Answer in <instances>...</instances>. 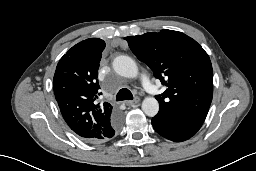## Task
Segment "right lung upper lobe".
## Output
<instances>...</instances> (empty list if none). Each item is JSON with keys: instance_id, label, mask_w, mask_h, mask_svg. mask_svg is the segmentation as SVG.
<instances>
[{"instance_id": "cb5924a9", "label": "right lung upper lobe", "mask_w": 256, "mask_h": 171, "mask_svg": "<svg viewBox=\"0 0 256 171\" xmlns=\"http://www.w3.org/2000/svg\"><path fill=\"white\" fill-rule=\"evenodd\" d=\"M105 42L90 38L73 46L59 61L53 87L56 101L68 126L90 142L112 136L113 107L98 103V68Z\"/></svg>"}]
</instances>
